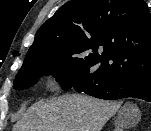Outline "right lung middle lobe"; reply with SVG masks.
<instances>
[{
  "label": "right lung middle lobe",
  "mask_w": 151,
  "mask_h": 131,
  "mask_svg": "<svg viewBox=\"0 0 151 131\" xmlns=\"http://www.w3.org/2000/svg\"><path fill=\"white\" fill-rule=\"evenodd\" d=\"M96 62L84 50L69 45L32 46L13 82L15 89L31 86L42 73H53L64 90L72 88L78 79H103L98 69L90 68Z\"/></svg>",
  "instance_id": "dd1d6c3e"
}]
</instances>
